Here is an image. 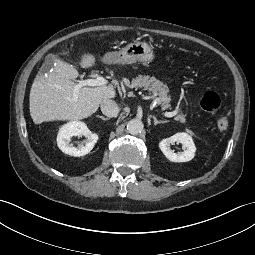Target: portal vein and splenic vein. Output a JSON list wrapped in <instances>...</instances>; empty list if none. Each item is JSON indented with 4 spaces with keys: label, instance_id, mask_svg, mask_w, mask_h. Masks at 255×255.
I'll list each match as a JSON object with an SVG mask.
<instances>
[{
    "label": "portal vein and splenic vein",
    "instance_id": "18ae733b",
    "mask_svg": "<svg viewBox=\"0 0 255 255\" xmlns=\"http://www.w3.org/2000/svg\"><path fill=\"white\" fill-rule=\"evenodd\" d=\"M107 84V80L103 78L102 76H98L96 79H87L84 81H81L79 84H77L76 89L78 90L79 88L83 86H103ZM165 117H173L176 115L175 112H164L163 113Z\"/></svg>",
    "mask_w": 255,
    "mask_h": 255
}]
</instances>
